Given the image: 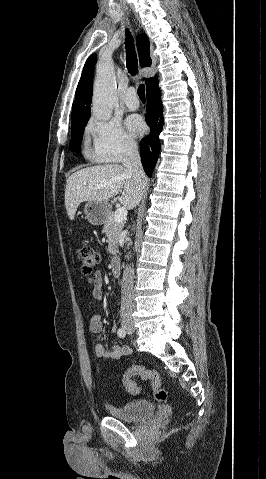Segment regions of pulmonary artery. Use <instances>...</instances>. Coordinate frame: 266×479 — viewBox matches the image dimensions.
<instances>
[{
	"instance_id": "e3ab8cb5",
	"label": "pulmonary artery",
	"mask_w": 266,
	"mask_h": 479,
	"mask_svg": "<svg viewBox=\"0 0 266 479\" xmlns=\"http://www.w3.org/2000/svg\"><path fill=\"white\" fill-rule=\"evenodd\" d=\"M125 105L130 110H136L139 107V100L134 88H129L124 97Z\"/></svg>"
}]
</instances>
